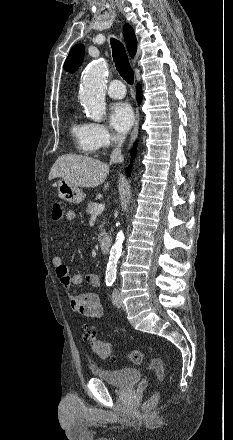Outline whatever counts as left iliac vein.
<instances>
[{
	"label": "left iliac vein",
	"mask_w": 233,
	"mask_h": 440,
	"mask_svg": "<svg viewBox=\"0 0 233 440\" xmlns=\"http://www.w3.org/2000/svg\"><path fill=\"white\" fill-rule=\"evenodd\" d=\"M112 303L117 308H121L122 307V303H121V300H120V295H119V292H118L117 289L113 290V293H112Z\"/></svg>",
	"instance_id": "left-iliac-vein-1"
}]
</instances>
